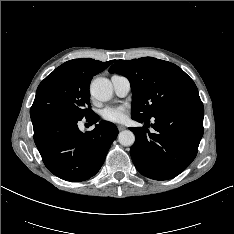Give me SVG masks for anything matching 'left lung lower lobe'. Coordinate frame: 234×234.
<instances>
[{"label": "left lung lower lobe", "instance_id": "1", "mask_svg": "<svg viewBox=\"0 0 234 234\" xmlns=\"http://www.w3.org/2000/svg\"><path fill=\"white\" fill-rule=\"evenodd\" d=\"M203 117V104L197 100L154 115L151 127L155 133L146 127L129 128L135 134L130 154L136 169L154 180L179 175L197 154L204 132ZM133 119L149 122V119Z\"/></svg>", "mask_w": 234, "mask_h": 234}]
</instances>
